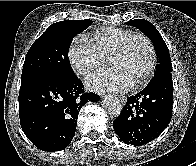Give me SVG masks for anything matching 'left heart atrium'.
<instances>
[{
	"label": "left heart atrium",
	"mask_w": 196,
	"mask_h": 166,
	"mask_svg": "<svg viewBox=\"0 0 196 166\" xmlns=\"http://www.w3.org/2000/svg\"><path fill=\"white\" fill-rule=\"evenodd\" d=\"M85 82L90 89L95 91L123 92L133 86V82L119 68L97 70L88 75Z\"/></svg>",
	"instance_id": "39dd6f15"
}]
</instances>
